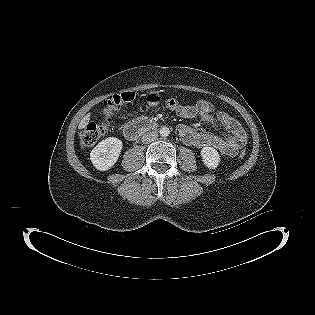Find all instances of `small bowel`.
Instances as JSON below:
<instances>
[{
  "instance_id": "obj_1",
  "label": "small bowel",
  "mask_w": 315,
  "mask_h": 315,
  "mask_svg": "<svg viewBox=\"0 0 315 315\" xmlns=\"http://www.w3.org/2000/svg\"><path fill=\"white\" fill-rule=\"evenodd\" d=\"M182 118L199 116L224 132L223 136L203 133L196 128L180 124L177 128L182 141L197 148L213 147L227 156H235L238 149L246 143V134L241 124L225 111H215L214 105L207 100H200L195 104L180 105L170 109Z\"/></svg>"
}]
</instances>
